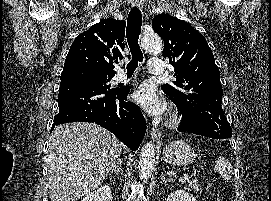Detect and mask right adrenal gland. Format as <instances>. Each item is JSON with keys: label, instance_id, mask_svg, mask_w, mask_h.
I'll use <instances>...</instances> for the list:
<instances>
[{"label": "right adrenal gland", "instance_id": "1", "mask_svg": "<svg viewBox=\"0 0 271 201\" xmlns=\"http://www.w3.org/2000/svg\"><path fill=\"white\" fill-rule=\"evenodd\" d=\"M122 162L120 159L117 160V162L113 165L112 170L108 172V174H113V172L118 175L121 171Z\"/></svg>", "mask_w": 271, "mask_h": 201}]
</instances>
